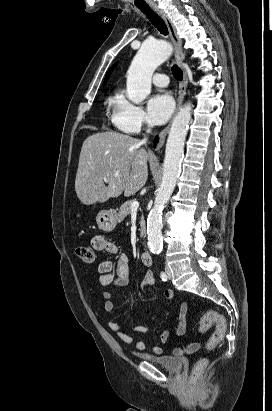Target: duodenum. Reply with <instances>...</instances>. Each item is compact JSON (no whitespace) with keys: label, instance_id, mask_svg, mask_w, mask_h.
I'll return each instance as SVG.
<instances>
[{"label":"duodenum","instance_id":"1","mask_svg":"<svg viewBox=\"0 0 272 411\" xmlns=\"http://www.w3.org/2000/svg\"><path fill=\"white\" fill-rule=\"evenodd\" d=\"M141 259L145 265H152L153 263V257L148 250H143L141 252Z\"/></svg>","mask_w":272,"mask_h":411}]
</instances>
